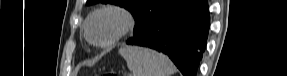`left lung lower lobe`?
<instances>
[{
	"instance_id": "1",
	"label": "left lung lower lobe",
	"mask_w": 287,
	"mask_h": 76,
	"mask_svg": "<svg viewBox=\"0 0 287 76\" xmlns=\"http://www.w3.org/2000/svg\"><path fill=\"white\" fill-rule=\"evenodd\" d=\"M207 0H183L152 19L127 44L163 52L184 76H196L209 30Z\"/></svg>"
}]
</instances>
